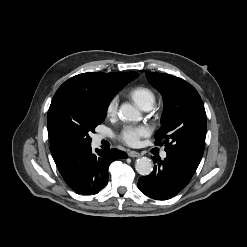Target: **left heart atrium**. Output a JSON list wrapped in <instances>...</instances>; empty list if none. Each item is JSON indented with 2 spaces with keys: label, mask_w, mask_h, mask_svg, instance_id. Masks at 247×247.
Returning <instances> with one entry per match:
<instances>
[{
  "label": "left heart atrium",
  "mask_w": 247,
  "mask_h": 247,
  "mask_svg": "<svg viewBox=\"0 0 247 247\" xmlns=\"http://www.w3.org/2000/svg\"><path fill=\"white\" fill-rule=\"evenodd\" d=\"M147 135L148 129L144 126H127L121 133V140L127 145L136 146Z\"/></svg>",
  "instance_id": "obj_1"
}]
</instances>
